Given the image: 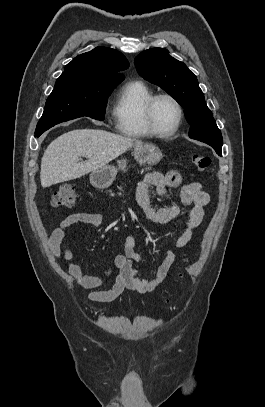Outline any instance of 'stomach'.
<instances>
[{
    "mask_svg": "<svg viewBox=\"0 0 265 407\" xmlns=\"http://www.w3.org/2000/svg\"><path fill=\"white\" fill-rule=\"evenodd\" d=\"M134 158L141 165H155L161 160L162 153L157 146L143 143L134 146ZM117 164L118 167L106 165L92 171L90 175L91 184L98 189L109 187L115 180L118 170H125L127 161L121 159L117 161Z\"/></svg>",
    "mask_w": 265,
    "mask_h": 407,
    "instance_id": "1",
    "label": "stomach"
}]
</instances>
